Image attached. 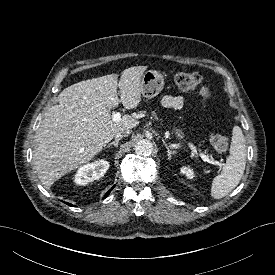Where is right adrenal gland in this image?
Returning <instances> with one entry per match:
<instances>
[{"mask_svg":"<svg viewBox=\"0 0 275 275\" xmlns=\"http://www.w3.org/2000/svg\"><path fill=\"white\" fill-rule=\"evenodd\" d=\"M121 138H117L115 139L113 142L109 143L106 148H109L111 146H114L115 148L118 146L119 142H120Z\"/></svg>","mask_w":275,"mask_h":275,"instance_id":"right-adrenal-gland-1","label":"right adrenal gland"}]
</instances>
